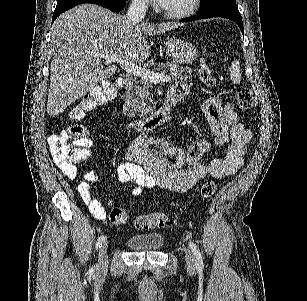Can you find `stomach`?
Returning a JSON list of instances; mask_svg holds the SVG:
<instances>
[{
  "label": "stomach",
  "mask_w": 307,
  "mask_h": 301,
  "mask_svg": "<svg viewBox=\"0 0 307 301\" xmlns=\"http://www.w3.org/2000/svg\"><path fill=\"white\" fill-rule=\"evenodd\" d=\"M166 50L171 56L175 64H187L193 62L198 56V48L184 40V38H177V36H168L166 38Z\"/></svg>",
  "instance_id": "0dacf381"
}]
</instances>
